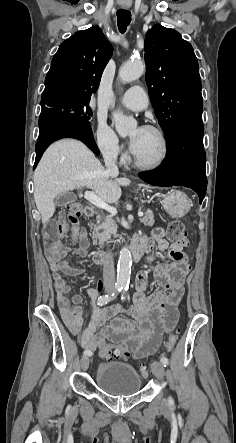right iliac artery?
<instances>
[{"mask_svg":"<svg viewBox=\"0 0 236 443\" xmlns=\"http://www.w3.org/2000/svg\"><path fill=\"white\" fill-rule=\"evenodd\" d=\"M122 289H123L122 286H116V287H115V291H114V293H112L111 295H103V296H100V297L98 298V300H97V305H99V306H103V305L107 304V303H108V302L114 297V295H116V294H118L119 292H121ZM84 355L91 356V355H92V352L89 351V350H85V351H84Z\"/></svg>","mask_w":236,"mask_h":443,"instance_id":"82829eb1","label":"right iliac artery"}]
</instances>
